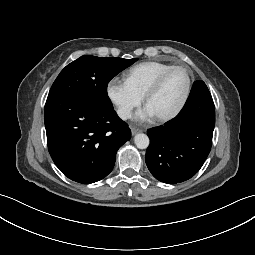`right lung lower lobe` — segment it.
I'll list each match as a JSON object with an SVG mask.
<instances>
[{"mask_svg": "<svg viewBox=\"0 0 255 255\" xmlns=\"http://www.w3.org/2000/svg\"><path fill=\"white\" fill-rule=\"evenodd\" d=\"M44 121L52 160L66 177L82 184L106 177L117 150L131 138L113 109L76 95L48 96Z\"/></svg>", "mask_w": 255, "mask_h": 255, "instance_id": "right-lung-lower-lobe-1", "label": "right lung lower lobe"}]
</instances>
